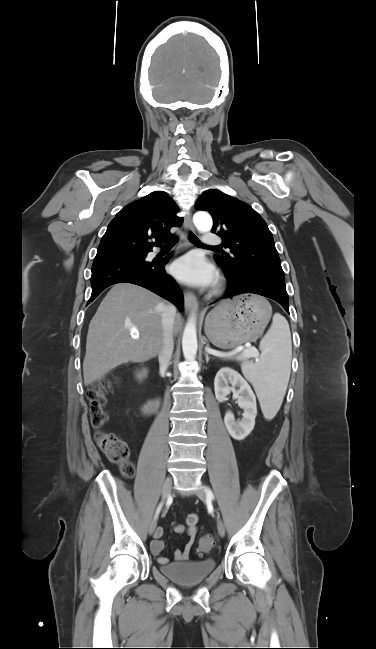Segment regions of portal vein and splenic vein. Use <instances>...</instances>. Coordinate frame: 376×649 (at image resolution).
Returning a JSON list of instances; mask_svg holds the SVG:
<instances>
[{"label": "portal vein and splenic vein", "instance_id": "1", "mask_svg": "<svg viewBox=\"0 0 376 649\" xmlns=\"http://www.w3.org/2000/svg\"><path fill=\"white\" fill-rule=\"evenodd\" d=\"M132 332H133V333H137V331H135V330H132ZM239 350H240L239 348H236V349H234L233 351H231L228 355H229V356H233V355L236 354ZM208 352H209L210 354H212V355H215V354H216V351H214V350H208ZM252 357H257V353H256V351H254V350H248L247 353L244 354V355H241L240 358H241V359H243V358H245V359H249V358H252Z\"/></svg>", "mask_w": 376, "mask_h": 649}]
</instances>
